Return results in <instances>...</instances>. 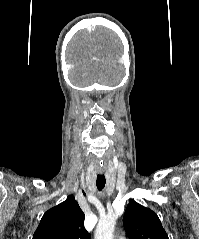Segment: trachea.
I'll use <instances>...</instances> for the list:
<instances>
[{
	"label": "trachea",
	"mask_w": 199,
	"mask_h": 239,
	"mask_svg": "<svg viewBox=\"0 0 199 239\" xmlns=\"http://www.w3.org/2000/svg\"><path fill=\"white\" fill-rule=\"evenodd\" d=\"M105 184H106L105 176L102 174H98L97 181H96L98 190L101 191L105 187Z\"/></svg>",
	"instance_id": "trachea-1"
}]
</instances>
